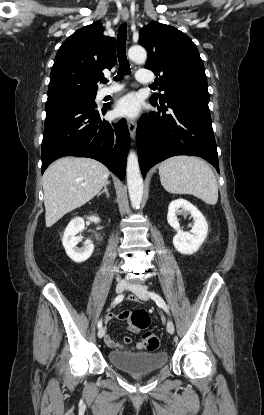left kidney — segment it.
I'll return each instance as SVG.
<instances>
[{
    "instance_id": "left-kidney-1",
    "label": "left kidney",
    "mask_w": 264,
    "mask_h": 415,
    "mask_svg": "<svg viewBox=\"0 0 264 415\" xmlns=\"http://www.w3.org/2000/svg\"><path fill=\"white\" fill-rule=\"evenodd\" d=\"M183 212L190 213L194 220L190 232L180 229L177 216ZM167 221L177 232L173 238V245L178 252L191 255L199 250L207 236L208 224L203 214L193 204L182 198L173 200L168 207Z\"/></svg>"
}]
</instances>
